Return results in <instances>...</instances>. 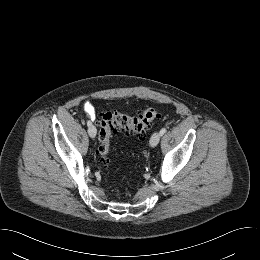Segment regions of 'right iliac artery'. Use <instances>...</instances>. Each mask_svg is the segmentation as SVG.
I'll return each instance as SVG.
<instances>
[{
    "label": "right iliac artery",
    "mask_w": 260,
    "mask_h": 260,
    "mask_svg": "<svg viewBox=\"0 0 260 260\" xmlns=\"http://www.w3.org/2000/svg\"><path fill=\"white\" fill-rule=\"evenodd\" d=\"M91 125H92V123L90 121H87V126L89 127Z\"/></svg>",
    "instance_id": "obj_1"
}]
</instances>
